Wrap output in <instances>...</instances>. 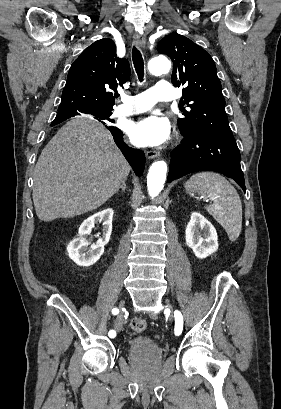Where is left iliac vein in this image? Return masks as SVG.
<instances>
[{"label": "left iliac vein", "instance_id": "4c4485c4", "mask_svg": "<svg viewBox=\"0 0 281 409\" xmlns=\"http://www.w3.org/2000/svg\"><path fill=\"white\" fill-rule=\"evenodd\" d=\"M171 309H172L171 304H170L169 302H166V310H167L168 312H170ZM172 319H173V315L170 314V320H172Z\"/></svg>", "mask_w": 281, "mask_h": 409}]
</instances>
